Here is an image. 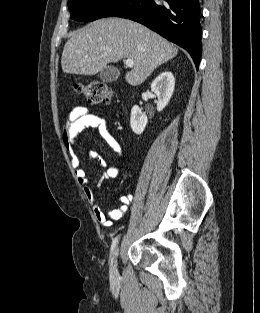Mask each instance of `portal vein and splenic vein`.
<instances>
[{"mask_svg":"<svg viewBox=\"0 0 260 313\" xmlns=\"http://www.w3.org/2000/svg\"><path fill=\"white\" fill-rule=\"evenodd\" d=\"M125 64L128 66V67H133L134 66V62L132 59H127L125 61Z\"/></svg>","mask_w":260,"mask_h":313,"instance_id":"18ae733b","label":"portal vein and splenic vein"}]
</instances>
